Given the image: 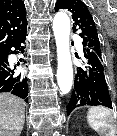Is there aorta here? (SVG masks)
<instances>
[{
  "instance_id": "obj_1",
  "label": "aorta",
  "mask_w": 117,
  "mask_h": 136,
  "mask_svg": "<svg viewBox=\"0 0 117 136\" xmlns=\"http://www.w3.org/2000/svg\"><path fill=\"white\" fill-rule=\"evenodd\" d=\"M53 32L57 47V82L62 94L70 92L73 83V66L70 53V19L58 12L53 19Z\"/></svg>"
}]
</instances>
